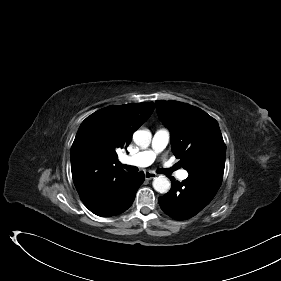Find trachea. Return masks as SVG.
I'll return each mask as SVG.
<instances>
[{
    "mask_svg": "<svg viewBox=\"0 0 281 281\" xmlns=\"http://www.w3.org/2000/svg\"><path fill=\"white\" fill-rule=\"evenodd\" d=\"M120 166H121L122 168H125L127 171H130V172H136V171H138V168L135 167V166L123 165V164H120ZM171 170H172V169H164V168H162V169H159V170H158V173H159V174H170V173H171Z\"/></svg>",
    "mask_w": 281,
    "mask_h": 281,
    "instance_id": "3493384b",
    "label": "trachea"
}]
</instances>
